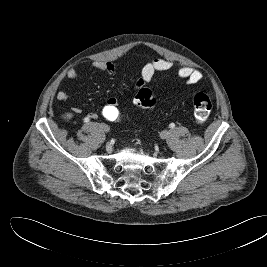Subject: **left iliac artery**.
I'll return each mask as SVG.
<instances>
[{"mask_svg":"<svg viewBox=\"0 0 267 267\" xmlns=\"http://www.w3.org/2000/svg\"><path fill=\"white\" fill-rule=\"evenodd\" d=\"M169 126H170V128H174L175 127V124L174 123H171Z\"/></svg>","mask_w":267,"mask_h":267,"instance_id":"44dca946","label":"left iliac artery"}]
</instances>
